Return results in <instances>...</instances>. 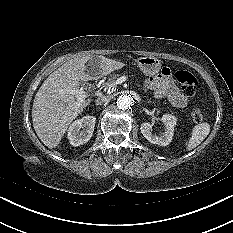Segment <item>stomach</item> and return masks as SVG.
Returning <instances> with one entry per match:
<instances>
[{"label": "stomach", "instance_id": "stomach-1", "mask_svg": "<svg viewBox=\"0 0 233 233\" xmlns=\"http://www.w3.org/2000/svg\"><path fill=\"white\" fill-rule=\"evenodd\" d=\"M140 70L146 75H154L159 72L161 63L156 57H140L137 60Z\"/></svg>", "mask_w": 233, "mask_h": 233}]
</instances>
